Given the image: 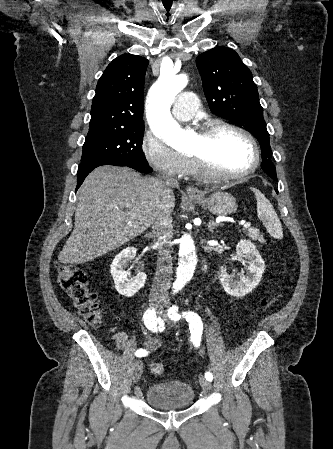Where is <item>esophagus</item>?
<instances>
[{
    "mask_svg": "<svg viewBox=\"0 0 333 449\" xmlns=\"http://www.w3.org/2000/svg\"><path fill=\"white\" fill-rule=\"evenodd\" d=\"M186 192H187L188 196H190V197H200L202 195L200 190L194 186H188L186 188Z\"/></svg>",
    "mask_w": 333,
    "mask_h": 449,
    "instance_id": "esophagus-1",
    "label": "esophagus"
}]
</instances>
